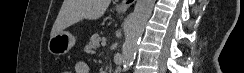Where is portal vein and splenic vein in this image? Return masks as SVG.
<instances>
[{
  "label": "portal vein and splenic vein",
  "instance_id": "portal-vein-and-splenic-vein-1",
  "mask_svg": "<svg viewBox=\"0 0 244 73\" xmlns=\"http://www.w3.org/2000/svg\"><path fill=\"white\" fill-rule=\"evenodd\" d=\"M101 45H102V47H105V46H106V42L103 41V42L101 43Z\"/></svg>",
  "mask_w": 244,
  "mask_h": 73
}]
</instances>
